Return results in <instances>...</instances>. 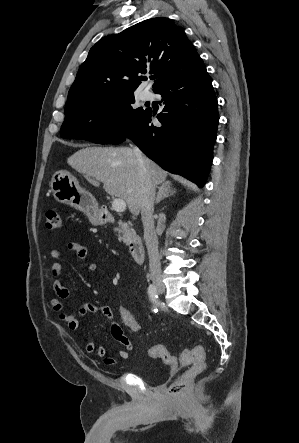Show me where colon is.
Segmentation results:
<instances>
[{
    "instance_id": "colon-1",
    "label": "colon",
    "mask_w": 299,
    "mask_h": 443,
    "mask_svg": "<svg viewBox=\"0 0 299 443\" xmlns=\"http://www.w3.org/2000/svg\"><path fill=\"white\" fill-rule=\"evenodd\" d=\"M62 220L58 211L48 210L46 212V227L55 229L61 227ZM120 321L129 332L141 334L144 330L142 322L127 306L120 309ZM149 356L162 360L173 370L179 365L190 366L189 369L169 386V394L177 397L182 395L192 380L199 375L206 367V357L204 349L196 346L191 349L181 351L179 358L173 356L163 345H152L148 348Z\"/></svg>"
}]
</instances>
